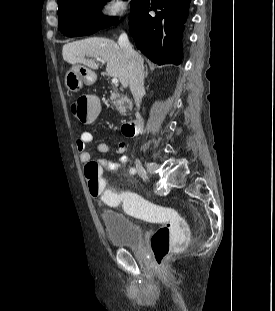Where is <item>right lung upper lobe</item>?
Listing matches in <instances>:
<instances>
[{
  "instance_id": "1",
  "label": "right lung upper lobe",
  "mask_w": 275,
  "mask_h": 311,
  "mask_svg": "<svg viewBox=\"0 0 275 311\" xmlns=\"http://www.w3.org/2000/svg\"><path fill=\"white\" fill-rule=\"evenodd\" d=\"M66 1H69V0H58V5H60V4L64 3V2H66Z\"/></svg>"
}]
</instances>
